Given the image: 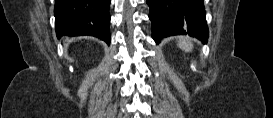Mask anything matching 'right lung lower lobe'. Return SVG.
I'll use <instances>...</instances> for the list:
<instances>
[{"label":"right lung lower lobe","instance_id":"right-lung-lower-lobe-1","mask_svg":"<svg viewBox=\"0 0 273 118\" xmlns=\"http://www.w3.org/2000/svg\"><path fill=\"white\" fill-rule=\"evenodd\" d=\"M111 0H55L57 37L90 35L110 45Z\"/></svg>","mask_w":273,"mask_h":118}]
</instances>
